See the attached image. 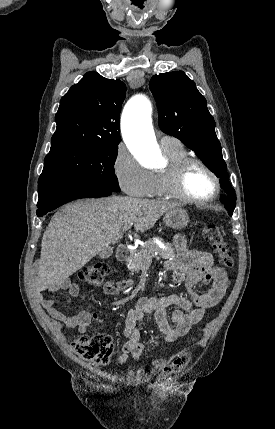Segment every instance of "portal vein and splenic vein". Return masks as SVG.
<instances>
[{
    "label": "portal vein and splenic vein",
    "instance_id": "portal-vein-and-splenic-vein-1",
    "mask_svg": "<svg viewBox=\"0 0 275 429\" xmlns=\"http://www.w3.org/2000/svg\"><path fill=\"white\" fill-rule=\"evenodd\" d=\"M131 228V226H125L124 228H123V230L124 231H127V230H129Z\"/></svg>",
    "mask_w": 275,
    "mask_h": 429
}]
</instances>
